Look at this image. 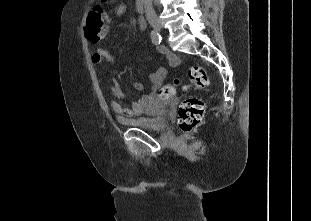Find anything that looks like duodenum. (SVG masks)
I'll return each mask as SVG.
<instances>
[{"label":"duodenum","mask_w":311,"mask_h":221,"mask_svg":"<svg viewBox=\"0 0 311 221\" xmlns=\"http://www.w3.org/2000/svg\"><path fill=\"white\" fill-rule=\"evenodd\" d=\"M145 2H146V0H135L136 9L138 11H143L144 10V6H145ZM138 26L140 28H144L145 27V22L144 21H139Z\"/></svg>","instance_id":"410a0bca"}]
</instances>
